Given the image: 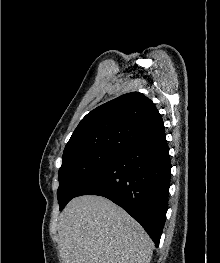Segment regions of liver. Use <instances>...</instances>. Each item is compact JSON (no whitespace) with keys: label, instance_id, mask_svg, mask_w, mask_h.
Listing matches in <instances>:
<instances>
[{"label":"liver","instance_id":"obj_1","mask_svg":"<svg viewBox=\"0 0 220 263\" xmlns=\"http://www.w3.org/2000/svg\"><path fill=\"white\" fill-rule=\"evenodd\" d=\"M63 263H149L153 242L141 225L107 198H73L58 223Z\"/></svg>","mask_w":220,"mask_h":263}]
</instances>
